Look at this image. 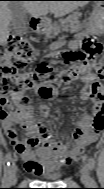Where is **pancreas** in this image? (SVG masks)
<instances>
[{
	"label": "pancreas",
	"mask_w": 104,
	"mask_h": 189,
	"mask_svg": "<svg viewBox=\"0 0 104 189\" xmlns=\"http://www.w3.org/2000/svg\"><path fill=\"white\" fill-rule=\"evenodd\" d=\"M66 22H71V23H78V18H77V13L74 12L72 15H70L66 20L62 21V24Z\"/></svg>",
	"instance_id": "pancreas-1"
}]
</instances>
